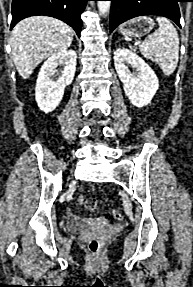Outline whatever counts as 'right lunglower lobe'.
I'll return each instance as SVG.
<instances>
[{
    "mask_svg": "<svg viewBox=\"0 0 193 287\" xmlns=\"http://www.w3.org/2000/svg\"><path fill=\"white\" fill-rule=\"evenodd\" d=\"M89 0H13L12 29L20 20L36 15L51 16L70 25L80 36V15Z\"/></svg>",
    "mask_w": 193,
    "mask_h": 287,
    "instance_id": "98d812e1",
    "label": "right lung lower lobe"
}]
</instances>
